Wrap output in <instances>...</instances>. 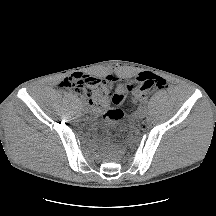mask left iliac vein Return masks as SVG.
Returning a JSON list of instances; mask_svg holds the SVG:
<instances>
[{"label":"left iliac vein","instance_id":"1","mask_svg":"<svg viewBox=\"0 0 216 216\" xmlns=\"http://www.w3.org/2000/svg\"><path fill=\"white\" fill-rule=\"evenodd\" d=\"M146 114H147V108L145 106L140 107L137 113L138 117L140 119H143L146 116Z\"/></svg>","mask_w":216,"mask_h":216}]
</instances>
